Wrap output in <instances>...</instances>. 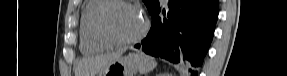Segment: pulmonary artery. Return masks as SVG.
<instances>
[{
    "label": "pulmonary artery",
    "mask_w": 287,
    "mask_h": 76,
    "mask_svg": "<svg viewBox=\"0 0 287 76\" xmlns=\"http://www.w3.org/2000/svg\"><path fill=\"white\" fill-rule=\"evenodd\" d=\"M162 2H167V0H162Z\"/></svg>",
    "instance_id": "1"
}]
</instances>
